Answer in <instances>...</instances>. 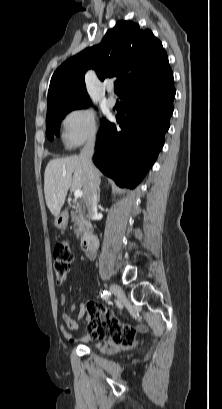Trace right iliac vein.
I'll return each instance as SVG.
<instances>
[{"label": "right iliac vein", "mask_w": 222, "mask_h": 409, "mask_svg": "<svg viewBox=\"0 0 222 409\" xmlns=\"http://www.w3.org/2000/svg\"><path fill=\"white\" fill-rule=\"evenodd\" d=\"M110 291L114 294V295H116V296H118V297H121V296H123V290H122V288L119 286V285H117V284H111L110 285Z\"/></svg>", "instance_id": "right-iliac-vein-1"}]
</instances>
